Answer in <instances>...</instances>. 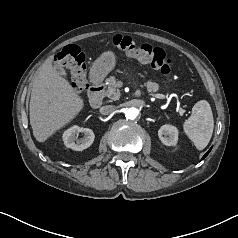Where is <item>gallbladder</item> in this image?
<instances>
[{"label": "gallbladder", "instance_id": "gallbladder-1", "mask_svg": "<svg viewBox=\"0 0 238 238\" xmlns=\"http://www.w3.org/2000/svg\"><path fill=\"white\" fill-rule=\"evenodd\" d=\"M54 68L56 69V71H57L60 75H62V76H65V75H66L65 70H64L62 67H60V66H55Z\"/></svg>", "mask_w": 238, "mask_h": 238}]
</instances>
